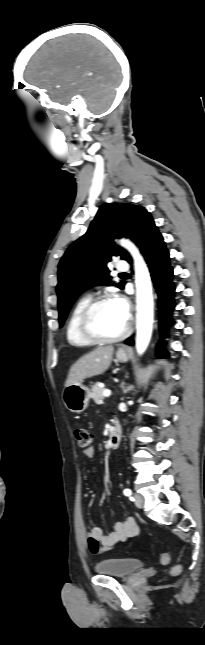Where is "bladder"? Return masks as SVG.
<instances>
[{
  "instance_id": "bladder-1",
  "label": "bladder",
  "mask_w": 205,
  "mask_h": 645,
  "mask_svg": "<svg viewBox=\"0 0 205 645\" xmlns=\"http://www.w3.org/2000/svg\"><path fill=\"white\" fill-rule=\"evenodd\" d=\"M144 567L141 560L135 558H107L95 565V571L99 574L117 577H128Z\"/></svg>"
}]
</instances>
